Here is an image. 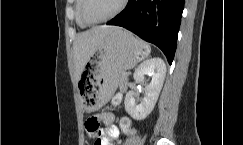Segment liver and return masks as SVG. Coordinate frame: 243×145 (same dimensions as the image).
Segmentation results:
<instances>
[{
	"label": "liver",
	"mask_w": 243,
	"mask_h": 145,
	"mask_svg": "<svg viewBox=\"0 0 243 145\" xmlns=\"http://www.w3.org/2000/svg\"><path fill=\"white\" fill-rule=\"evenodd\" d=\"M120 29L117 26H96L79 33L73 44L75 77L80 75L90 58L95 54L100 44L113 31Z\"/></svg>",
	"instance_id": "liver-1"
}]
</instances>
